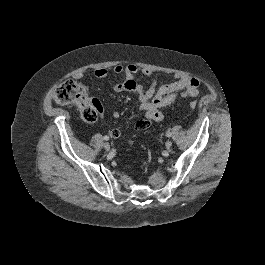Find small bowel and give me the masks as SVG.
Returning <instances> with one entry per match:
<instances>
[{"label": "small bowel", "mask_w": 265, "mask_h": 265, "mask_svg": "<svg viewBox=\"0 0 265 265\" xmlns=\"http://www.w3.org/2000/svg\"><path fill=\"white\" fill-rule=\"evenodd\" d=\"M115 74H123L125 80L118 82L113 86V90L116 93L124 91H130L136 94L139 102V109L144 112V118L136 121L135 127L138 130H143L149 127L153 122H159L163 118L162 109L172 104L177 97H196L199 92V80L195 77L185 74H176L174 81L169 84L158 86L157 80L152 79L148 87H144L136 81V75L140 72L146 77H151L152 72L147 68H139L134 64L129 65H117L113 69ZM92 74L96 78H105L109 72L105 68H97L93 70ZM86 76V73H77L75 79H82ZM100 102L96 99H92ZM101 107V104H100ZM102 111V107H101ZM114 118H119L120 113L114 111L112 113ZM132 116L130 119H134ZM113 138L120 137V131L114 129L111 131Z\"/></svg>", "instance_id": "1"}]
</instances>
